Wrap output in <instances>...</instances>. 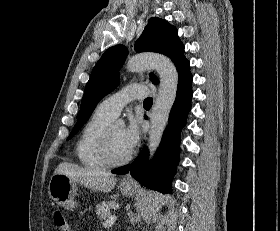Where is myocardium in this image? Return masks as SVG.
I'll return each mask as SVG.
<instances>
[{"instance_id": "1", "label": "myocardium", "mask_w": 280, "mask_h": 231, "mask_svg": "<svg viewBox=\"0 0 280 231\" xmlns=\"http://www.w3.org/2000/svg\"><path fill=\"white\" fill-rule=\"evenodd\" d=\"M111 125L112 124H108L104 128L99 140L98 150L100 157L108 166L117 167L127 163L130 160L131 155L127 154L126 156L119 159H116L112 156L109 144Z\"/></svg>"}]
</instances>
